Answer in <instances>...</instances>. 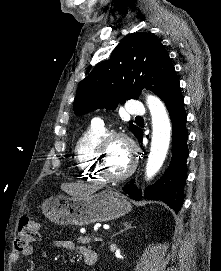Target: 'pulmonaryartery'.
<instances>
[{
    "label": "pulmonary artery",
    "instance_id": "1",
    "mask_svg": "<svg viewBox=\"0 0 221 271\" xmlns=\"http://www.w3.org/2000/svg\"><path fill=\"white\" fill-rule=\"evenodd\" d=\"M128 101L125 112H144L143 102H132L131 98ZM87 127H104V122H87ZM93 133H106V128H93ZM83 136L86 138L88 135L85 133Z\"/></svg>",
    "mask_w": 221,
    "mask_h": 271
}]
</instances>
